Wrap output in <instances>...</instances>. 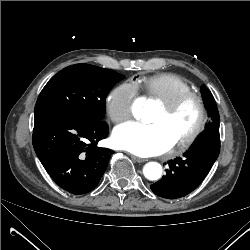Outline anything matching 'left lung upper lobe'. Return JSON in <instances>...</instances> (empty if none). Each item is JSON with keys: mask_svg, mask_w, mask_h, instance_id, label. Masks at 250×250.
Masks as SVG:
<instances>
[{"mask_svg": "<svg viewBox=\"0 0 250 250\" xmlns=\"http://www.w3.org/2000/svg\"><path fill=\"white\" fill-rule=\"evenodd\" d=\"M203 102L211 117V121L206 124V130L219 128V112L212 93L205 87L201 89Z\"/></svg>", "mask_w": 250, "mask_h": 250, "instance_id": "1", "label": "left lung upper lobe"}]
</instances>
